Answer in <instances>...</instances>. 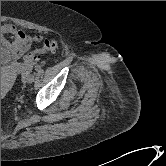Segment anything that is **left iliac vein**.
Listing matches in <instances>:
<instances>
[{
  "mask_svg": "<svg viewBox=\"0 0 166 166\" xmlns=\"http://www.w3.org/2000/svg\"><path fill=\"white\" fill-rule=\"evenodd\" d=\"M34 80H35V76H34L33 74H30V75L26 78V82H27L28 84L33 83Z\"/></svg>",
  "mask_w": 166,
  "mask_h": 166,
  "instance_id": "4c4485c4",
  "label": "left iliac vein"
}]
</instances>
